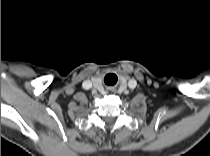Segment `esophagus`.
<instances>
[{"label":"esophagus","mask_w":210,"mask_h":156,"mask_svg":"<svg viewBox=\"0 0 210 156\" xmlns=\"http://www.w3.org/2000/svg\"><path fill=\"white\" fill-rule=\"evenodd\" d=\"M107 93L112 94V92H111V91H109V89H107Z\"/></svg>","instance_id":"34e87169"}]
</instances>
